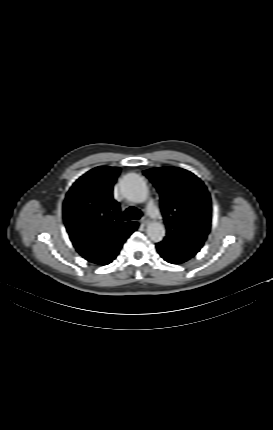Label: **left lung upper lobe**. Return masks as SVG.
Masks as SVG:
<instances>
[{
	"label": "left lung upper lobe",
	"mask_w": 273,
	"mask_h": 430,
	"mask_svg": "<svg viewBox=\"0 0 273 430\" xmlns=\"http://www.w3.org/2000/svg\"><path fill=\"white\" fill-rule=\"evenodd\" d=\"M158 190L166 225L163 247L190 259L202 248L211 228V198L193 173L176 167L145 170Z\"/></svg>",
	"instance_id": "obj_1"
}]
</instances>
